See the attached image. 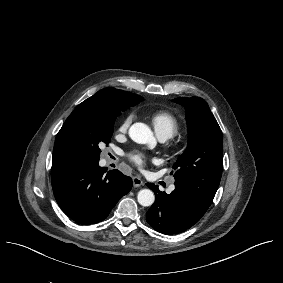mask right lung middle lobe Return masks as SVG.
Masks as SVG:
<instances>
[{
	"mask_svg": "<svg viewBox=\"0 0 283 283\" xmlns=\"http://www.w3.org/2000/svg\"><path fill=\"white\" fill-rule=\"evenodd\" d=\"M129 107L122 106L109 113L81 117L74 121L69 129V136L82 164L99 161L101 152L99 146L110 143L116 117Z\"/></svg>",
	"mask_w": 283,
	"mask_h": 283,
	"instance_id": "dd1d6c3e",
	"label": "right lung middle lobe"
}]
</instances>
